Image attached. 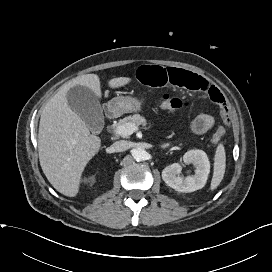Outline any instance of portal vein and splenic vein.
Here are the masks:
<instances>
[{"instance_id":"1","label":"portal vein and splenic vein","mask_w":272,"mask_h":272,"mask_svg":"<svg viewBox=\"0 0 272 272\" xmlns=\"http://www.w3.org/2000/svg\"><path fill=\"white\" fill-rule=\"evenodd\" d=\"M138 129H139L138 126L131 124V123H127V124H123V125L118 126L115 129V132H116V134L125 137V136L132 135Z\"/></svg>"}]
</instances>
